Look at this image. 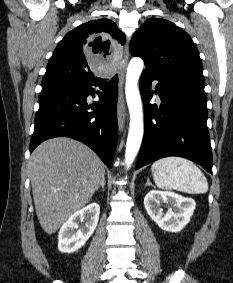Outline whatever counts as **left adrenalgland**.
<instances>
[{
	"mask_svg": "<svg viewBox=\"0 0 233 283\" xmlns=\"http://www.w3.org/2000/svg\"><path fill=\"white\" fill-rule=\"evenodd\" d=\"M145 186H152V184H151V182H150V180L149 179H147V183H146V185Z\"/></svg>",
	"mask_w": 233,
	"mask_h": 283,
	"instance_id": "1",
	"label": "left adrenal gland"
}]
</instances>
